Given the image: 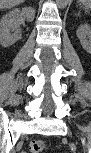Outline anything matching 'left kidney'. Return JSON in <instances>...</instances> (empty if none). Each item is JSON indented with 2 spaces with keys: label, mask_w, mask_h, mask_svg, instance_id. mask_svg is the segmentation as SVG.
<instances>
[{
  "label": "left kidney",
  "mask_w": 91,
  "mask_h": 153,
  "mask_svg": "<svg viewBox=\"0 0 91 153\" xmlns=\"http://www.w3.org/2000/svg\"><path fill=\"white\" fill-rule=\"evenodd\" d=\"M90 33L91 27L88 24H82L76 32L83 49H85L88 53L91 52V43L87 40V36H89Z\"/></svg>",
  "instance_id": "obj_1"
}]
</instances>
